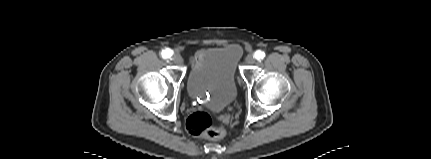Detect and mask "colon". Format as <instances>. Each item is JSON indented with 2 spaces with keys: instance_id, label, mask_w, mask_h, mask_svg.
Wrapping results in <instances>:
<instances>
[{
  "instance_id": "5ec220e1",
  "label": "colon",
  "mask_w": 431,
  "mask_h": 159,
  "mask_svg": "<svg viewBox=\"0 0 431 159\" xmlns=\"http://www.w3.org/2000/svg\"><path fill=\"white\" fill-rule=\"evenodd\" d=\"M186 129L189 134L195 137H207L219 139L225 135V129L213 125L209 113L206 111H195L186 120Z\"/></svg>"
}]
</instances>
